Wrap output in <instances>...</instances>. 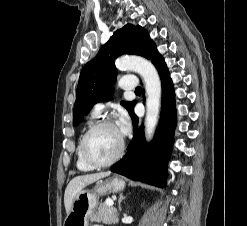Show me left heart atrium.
I'll list each match as a JSON object with an SVG mask.
<instances>
[{
  "label": "left heart atrium",
  "mask_w": 247,
  "mask_h": 226,
  "mask_svg": "<svg viewBox=\"0 0 247 226\" xmlns=\"http://www.w3.org/2000/svg\"><path fill=\"white\" fill-rule=\"evenodd\" d=\"M120 135L123 137L127 135L130 131V122L129 119L126 115H123L119 122H118V127H117Z\"/></svg>",
  "instance_id": "obj_1"
}]
</instances>
